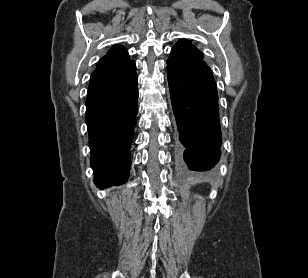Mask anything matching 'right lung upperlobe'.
<instances>
[{
	"mask_svg": "<svg viewBox=\"0 0 308 278\" xmlns=\"http://www.w3.org/2000/svg\"><path fill=\"white\" fill-rule=\"evenodd\" d=\"M135 72L136 65L130 60L127 50L115 45L99 60L88 90L116 87L128 81Z\"/></svg>",
	"mask_w": 308,
	"mask_h": 278,
	"instance_id": "right-lung-upper-lobe-1",
	"label": "right lung upper lobe"
}]
</instances>
